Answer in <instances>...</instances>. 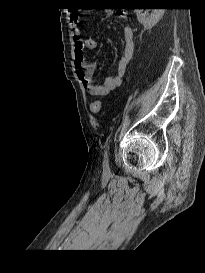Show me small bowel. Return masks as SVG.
<instances>
[{
	"instance_id": "1",
	"label": "small bowel",
	"mask_w": 205,
	"mask_h": 273,
	"mask_svg": "<svg viewBox=\"0 0 205 273\" xmlns=\"http://www.w3.org/2000/svg\"><path fill=\"white\" fill-rule=\"evenodd\" d=\"M121 18L126 20L127 15L122 14ZM81 21L80 15L73 13L70 15V23L74 30V65L79 79L82 81L85 90L93 96L106 95L110 91L117 88L122 81L127 65L132 58L134 51L133 30L126 26L122 30L125 43L124 51L116 65V72L113 75L106 76L102 83L96 84L93 81V76L96 71V63L84 62V50H93L97 47V42L94 39H82L80 37L78 25Z\"/></svg>"
}]
</instances>
